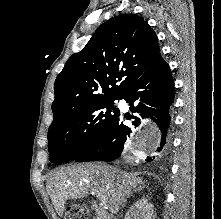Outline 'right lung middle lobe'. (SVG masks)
Masks as SVG:
<instances>
[{
  "mask_svg": "<svg viewBox=\"0 0 221 219\" xmlns=\"http://www.w3.org/2000/svg\"><path fill=\"white\" fill-rule=\"evenodd\" d=\"M115 100L83 105L52 122L48 130L49 160L55 164L74 161L93 148L120 115Z\"/></svg>",
  "mask_w": 221,
  "mask_h": 219,
  "instance_id": "dd1d6c3e",
  "label": "right lung middle lobe"
}]
</instances>
